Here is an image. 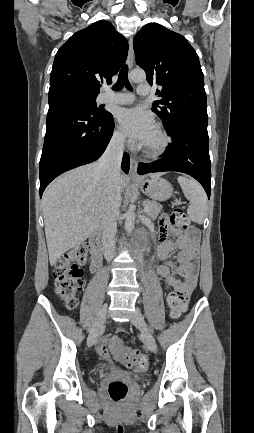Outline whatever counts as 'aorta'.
Returning <instances> with one entry per match:
<instances>
[{"mask_svg":"<svg viewBox=\"0 0 254 433\" xmlns=\"http://www.w3.org/2000/svg\"><path fill=\"white\" fill-rule=\"evenodd\" d=\"M129 79L131 82L140 83L146 80V74L143 70H133L129 74ZM135 226V212L134 207L130 206L125 214V230L127 233H131Z\"/></svg>","mask_w":254,"mask_h":433,"instance_id":"aorta-1","label":"aorta"}]
</instances>
